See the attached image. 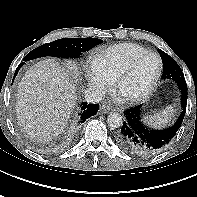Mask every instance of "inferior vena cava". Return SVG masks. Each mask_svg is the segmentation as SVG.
I'll use <instances>...</instances> for the list:
<instances>
[{
    "instance_id": "1",
    "label": "inferior vena cava",
    "mask_w": 197,
    "mask_h": 197,
    "mask_svg": "<svg viewBox=\"0 0 197 197\" xmlns=\"http://www.w3.org/2000/svg\"><path fill=\"white\" fill-rule=\"evenodd\" d=\"M85 100L88 103H99L102 100V93L99 90L88 88L84 92Z\"/></svg>"
}]
</instances>
